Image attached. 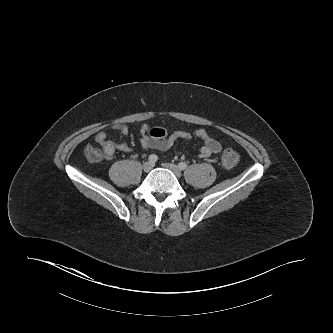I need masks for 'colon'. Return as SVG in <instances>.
Masks as SVG:
<instances>
[{"label":"colon","instance_id":"obj_1","mask_svg":"<svg viewBox=\"0 0 333 333\" xmlns=\"http://www.w3.org/2000/svg\"><path fill=\"white\" fill-rule=\"evenodd\" d=\"M150 136L154 138H164L166 131L162 128L155 127L149 131ZM85 156L89 162L96 163L105 156L104 148L101 145H89L85 149ZM239 161V155L232 149H226L222 154V162L227 167L235 166Z\"/></svg>","mask_w":333,"mask_h":333}]
</instances>
